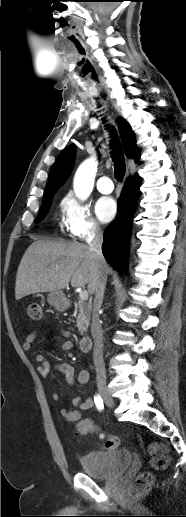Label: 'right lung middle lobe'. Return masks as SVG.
<instances>
[{
	"instance_id": "obj_1",
	"label": "right lung middle lobe",
	"mask_w": 186,
	"mask_h": 517,
	"mask_svg": "<svg viewBox=\"0 0 186 517\" xmlns=\"http://www.w3.org/2000/svg\"><path fill=\"white\" fill-rule=\"evenodd\" d=\"M54 193L55 192H51V193H49V194L44 196L41 209H40V211H39V213H38V215H37V217H36L34 222L40 221L47 214Z\"/></svg>"
}]
</instances>
